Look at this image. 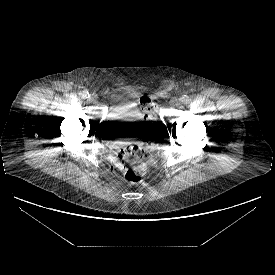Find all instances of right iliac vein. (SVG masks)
I'll return each mask as SVG.
<instances>
[{"label":"right iliac vein","instance_id":"1","mask_svg":"<svg viewBox=\"0 0 275 275\" xmlns=\"http://www.w3.org/2000/svg\"><path fill=\"white\" fill-rule=\"evenodd\" d=\"M88 100L92 103H96L97 102V96L92 94V95L89 96Z\"/></svg>","mask_w":275,"mask_h":275}]
</instances>
